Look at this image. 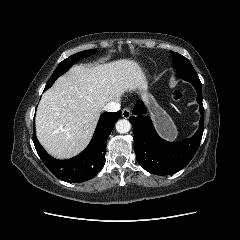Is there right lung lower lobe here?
Wrapping results in <instances>:
<instances>
[{
  "mask_svg": "<svg viewBox=\"0 0 240 240\" xmlns=\"http://www.w3.org/2000/svg\"><path fill=\"white\" fill-rule=\"evenodd\" d=\"M120 116L121 111L103 113L89 145L79 155L68 160L51 157L39 144L34 128L33 142L36 151L48 169L58 178L73 183L89 180L104 167L106 142Z\"/></svg>",
  "mask_w": 240,
  "mask_h": 240,
  "instance_id": "right-lung-lower-lobe-1",
  "label": "right lung lower lobe"
}]
</instances>
